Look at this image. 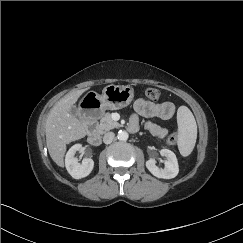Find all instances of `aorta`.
Returning <instances> with one entry per match:
<instances>
[{
  "instance_id": "762f6f07",
  "label": "aorta",
  "mask_w": 243,
  "mask_h": 243,
  "mask_svg": "<svg viewBox=\"0 0 243 243\" xmlns=\"http://www.w3.org/2000/svg\"><path fill=\"white\" fill-rule=\"evenodd\" d=\"M118 139L121 141H126L129 137L128 133L126 131L120 130L117 135Z\"/></svg>"
}]
</instances>
